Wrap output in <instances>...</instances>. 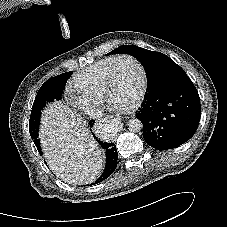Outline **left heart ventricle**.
Returning <instances> with one entry per match:
<instances>
[{
  "label": "left heart ventricle",
  "mask_w": 227,
  "mask_h": 227,
  "mask_svg": "<svg viewBox=\"0 0 227 227\" xmlns=\"http://www.w3.org/2000/svg\"><path fill=\"white\" fill-rule=\"evenodd\" d=\"M141 74L138 66L129 59L122 60L115 71L111 99L116 106H126L138 96Z\"/></svg>",
  "instance_id": "left-heart-ventricle-1"
}]
</instances>
